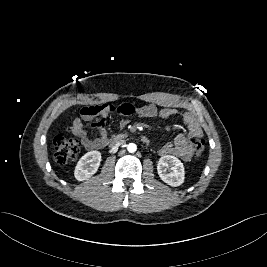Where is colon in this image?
I'll return each mask as SVG.
<instances>
[{
	"instance_id": "5ec220e1",
	"label": "colon",
	"mask_w": 267,
	"mask_h": 267,
	"mask_svg": "<svg viewBox=\"0 0 267 267\" xmlns=\"http://www.w3.org/2000/svg\"><path fill=\"white\" fill-rule=\"evenodd\" d=\"M81 139L69 138L60 133L54 138V158L58 164H66L75 159L81 150ZM191 146L195 156L200 157L205 149V142L201 138L192 137L190 139Z\"/></svg>"
}]
</instances>
